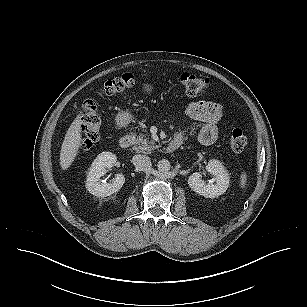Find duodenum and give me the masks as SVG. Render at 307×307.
<instances>
[{
	"label": "duodenum",
	"instance_id": "1",
	"mask_svg": "<svg viewBox=\"0 0 307 307\" xmlns=\"http://www.w3.org/2000/svg\"><path fill=\"white\" fill-rule=\"evenodd\" d=\"M133 142L132 137L130 136H123L120 138L119 140V145L122 149H127L131 146ZM182 145V139L180 138H174L170 141V143L167 146V151L169 153H173L176 150H178L180 148V146Z\"/></svg>",
	"mask_w": 307,
	"mask_h": 307
}]
</instances>
